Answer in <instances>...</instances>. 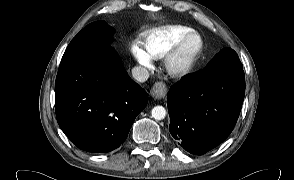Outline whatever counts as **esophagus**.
Masks as SVG:
<instances>
[{
    "instance_id": "1",
    "label": "esophagus",
    "mask_w": 294,
    "mask_h": 180,
    "mask_svg": "<svg viewBox=\"0 0 294 180\" xmlns=\"http://www.w3.org/2000/svg\"><path fill=\"white\" fill-rule=\"evenodd\" d=\"M167 88L163 82H156L152 89L150 90V94L155 99H162L166 96Z\"/></svg>"
}]
</instances>
